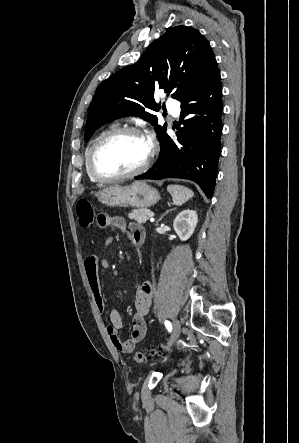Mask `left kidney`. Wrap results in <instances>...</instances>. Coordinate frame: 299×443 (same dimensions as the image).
Returning <instances> with one entry per match:
<instances>
[{"mask_svg": "<svg viewBox=\"0 0 299 443\" xmlns=\"http://www.w3.org/2000/svg\"><path fill=\"white\" fill-rule=\"evenodd\" d=\"M198 223V216L194 210L180 212L173 222V228L182 241L188 240Z\"/></svg>", "mask_w": 299, "mask_h": 443, "instance_id": "obj_1", "label": "left kidney"}]
</instances>
